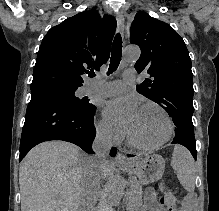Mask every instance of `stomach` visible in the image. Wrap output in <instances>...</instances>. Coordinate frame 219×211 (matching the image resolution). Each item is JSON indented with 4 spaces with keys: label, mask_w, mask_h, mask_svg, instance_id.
Returning a JSON list of instances; mask_svg holds the SVG:
<instances>
[{
    "label": "stomach",
    "mask_w": 219,
    "mask_h": 211,
    "mask_svg": "<svg viewBox=\"0 0 219 211\" xmlns=\"http://www.w3.org/2000/svg\"><path fill=\"white\" fill-rule=\"evenodd\" d=\"M123 171L137 176L142 184H149L162 178L165 160L158 154H149L141 159L129 161L120 166Z\"/></svg>",
    "instance_id": "1"
}]
</instances>
